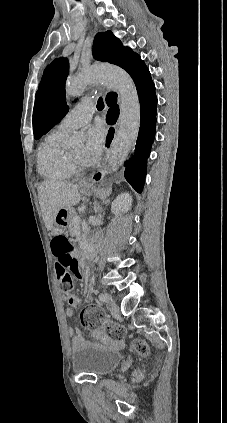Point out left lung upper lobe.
<instances>
[{
    "label": "left lung upper lobe",
    "instance_id": "obj_1",
    "mask_svg": "<svg viewBox=\"0 0 227 423\" xmlns=\"http://www.w3.org/2000/svg\"><path fill=\"white\" fill-rule=\"evenodd\" d=\"M95 59L120 66L132 77L135 85L149 73L140 56L130 48L124 47L111 31L99 33L93 45ZM69 64L66 59L54 60L44 71L39 89L35 96L33 109L34 137L39 139L57 124L68 112L65 103V81ZM117 94L106 96L108 106H115Z\"/></svg>",
    "mask_w": 227,
    "mask_h": 423
}]
</instances>
